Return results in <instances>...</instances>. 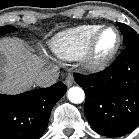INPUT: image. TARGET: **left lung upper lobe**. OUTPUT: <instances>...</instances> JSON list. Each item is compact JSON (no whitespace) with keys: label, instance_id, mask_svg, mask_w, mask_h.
Segmentation results:
<instances>
[{"label":"left lung upper lobe","instance_id":"obj_1","mask_svg":"<svg viewBox=\"0 0 139 139\" xmlns=\"http://www.w3.org/2000/svg\"><path fill=\"white\" fill-rule=\"evenodd\" d=\"M117 24L123 34V41L126 47L132 44H139V36L131 27L119 22Z\"/></svg>","mask_w":139,"mask_h":139}]
</instances>
